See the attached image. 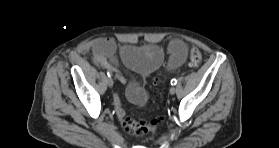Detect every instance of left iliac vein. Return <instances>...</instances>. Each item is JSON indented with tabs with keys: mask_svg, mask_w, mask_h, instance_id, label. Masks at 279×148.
<instances>
[{
	"mask_svg": "<svg viewBox=\"0 0 279 148\" xmlns=\"http://www.w3.org/2000/svg\"><path fill=\"white\" fill-rule=\"evenodd\" d=\"M169 92H170L171 95H174L175 92H176L175 87L174 86L170 87Z\"/></svg>",
	"mask_w": 279,
	"mask_h": 148,
	"instance_id": "left-iliac-vein-1",
	"label": "left iliac vein"
}]
</instances>
